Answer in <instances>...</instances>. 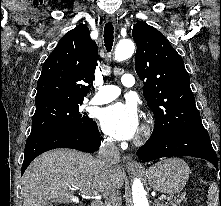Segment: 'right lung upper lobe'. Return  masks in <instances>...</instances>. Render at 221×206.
<instances>
[{
  "mask_svg": "<svg viewBox=\"0 0 221 206\" xmlns=\"http://www.w3.org/2000/svg\"><path fill=\"white\" fill-rule=\"evenodd\" d=\"M97 59L98 48L86 25L67 32L43 64L36 107L83 102L94 79Z\"/></svg>",
  "mask_w": 221,
  "mask_h": 206,
  "instance_id": "obj_1",
  "label": "right lung upper lobe"
}]
</instances>
